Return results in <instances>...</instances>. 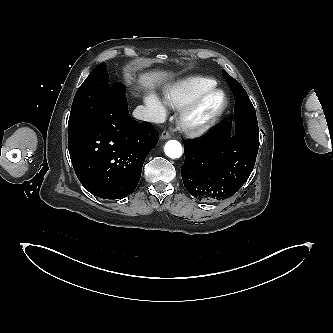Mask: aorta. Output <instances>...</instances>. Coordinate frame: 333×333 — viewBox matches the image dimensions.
<instances>
[{"label": "aorta", "mask_w": 333, "mask_h": 333, "mask_svg": "<svg viewBox=\"0 0 333 333\" xmlns=\"http://www.w3.org/2000/svg\"><path fill=\"white\" fill-rule=\"evenodd\" d=\"M164 151L165 154L172 159L180 158L182 155V146L180 142L170 140L165 144Z\"/></svg>", "instance_id": "obj_1"}]
</instances>
